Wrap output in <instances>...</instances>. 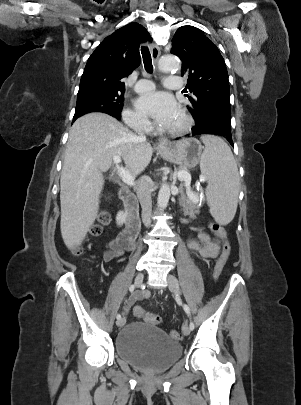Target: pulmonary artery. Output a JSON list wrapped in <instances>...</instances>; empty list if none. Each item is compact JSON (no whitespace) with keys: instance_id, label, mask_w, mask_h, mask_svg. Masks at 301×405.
<instances>
[{"instance_id":"1","label":"pulmonary artery","mask_w":301,"mask_h":405,"mask_svg":"<svg viewBox=\"0 0 301 405\" xmlns=\"http://www.w3.org/2000/svg\"><path fill=\"white\" fill-rule=\"evenodd\" d=\"M164 85L169 89H181L184 82L180 77L171 75L165 79ZM154 88L155 84L147 79H141L135 85V91L138 93H147L154 90Z\"/></svg>"}]
</instances>
